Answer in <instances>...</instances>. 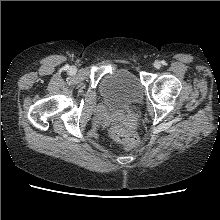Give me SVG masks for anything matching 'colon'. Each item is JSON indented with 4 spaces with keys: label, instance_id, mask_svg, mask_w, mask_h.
Returning <instances> with one entry per match:
<instances>
[{
    "label": "colon",
    "instance_id": "obj_1",
    "mask_svg": "<svg viewBox=\"0 0 220 220\" xmlns=\"http://www.w3.org/2000/svg\"><path fill=\"white\" fill-rule=\"evenodd\" d=\"M112 137L125 145L127 149L133 148L137 144L136 136L130 132L121 122H115L111 127Z\"/></svg>",
    "mask_w": 220,
    "mask_h": 220
}]
</instances>
